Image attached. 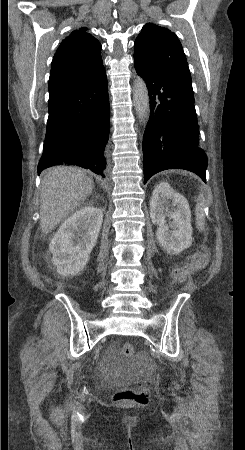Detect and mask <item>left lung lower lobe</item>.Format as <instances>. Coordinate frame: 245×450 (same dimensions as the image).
<instances>
[{
	"instance_id": "obj_1",
	"label": "left lung lower lobe",
	"mask_w": 245,
	"mask_h": 450,
	"mask_svg": "<svg viewBox=\"0 0 245 450\" xmlns=\"http://www.w3.org/2000/svg\"><path fill=\"white\" fill-rule=\"evenodd\" d=\"M146 82L150 118L143 137L144 184L166 169H185L206 182L207 156L200 147L194 101L167 77L135 67Z\"/></svg>"
}]
</instances>
